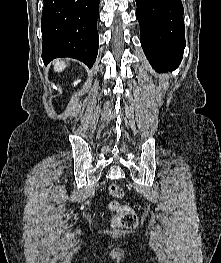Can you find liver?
Listing matches in <instances>:
<instances>
[{"label": "liver", "instance_id": "1", "mask_svg": "<svg viewBox=\"0 0 221 263\" xmlns=\"http://www.w3.org/2000/svg\"><path fill=\"white\" fill-rule=\"evenodd\" d=\"M53 65H54V70L56 72H61L62 70H64V68L66 67V64L64 63L63 60L61 59H58V60H55L53 62Z\"/></svg>", "mask_w": 221, "mask_h": 263}]
</instances>
